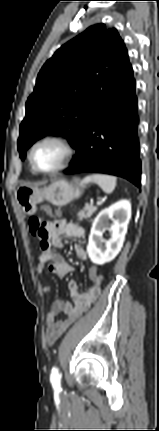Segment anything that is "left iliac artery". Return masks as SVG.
<instances>
[{"label": "left iliac artery", "instance_id": "44dca946", "mask_svg": "<svg viewBox=\"0 0 159 431\" xmlns=\"http://www.w3.org/2000/svg\"><path fill=\"white\" fill-rule=\"evenodd\" d=\"M60 377L61 376L59 374L58 369L56 367H54L52 369L51 378H50L52 386L54 388H60Z\"/></svg>", "mask_w": 159, "mask_h": 431}]
</instances>
